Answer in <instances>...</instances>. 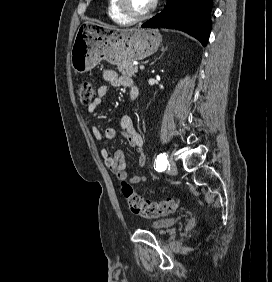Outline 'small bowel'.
<instances>
[{"label":"small bowel","instance_id":"small-bowel-1","mask_svg":"<svg viewBox=\"0 0 272 282\" xmlns=\"http://www.w3.org/2000/svg\"><path fill=\"white\" fill-rule=\"evenodd\" d=\"M104 78L109 82L112 86L121 87L123 89H130L131 86L134 85L133 81L125 76H120L117 72L108 70L104 72ZM107 86H102L98 90V98L96 101L89 106L88 111L90 113H94L97 107L102 102V97L107 93ZM119 124L123 129L124 136L129 143V145L135 148L139 153V165L141 167L145 166L148 155L143 150V138L138 131L134 120L130 116H122L119 120ZM92 133L94 138L97 141H106L113 139L116 136V129L108 128L102 133L99 127L94 126L92 128ZM101 155L105 161L106 166L116 174L120 179L125 180L131 184L144 183L147 180L146 174L144 172L134 175L132 177H128L127 174V161L123 157L120 151H117L114 155H111L109 150L106 147L101 149Z\"/></svg>","mask_w":272,"mask_h":282}]
</instances>
